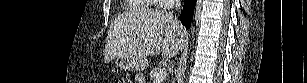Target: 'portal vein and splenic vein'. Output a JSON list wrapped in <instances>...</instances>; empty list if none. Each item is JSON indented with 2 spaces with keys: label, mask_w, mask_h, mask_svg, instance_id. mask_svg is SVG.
<instances>
[{
  "label": "portal vein and splenic vein",
  "mask_w": 307,
  "mask_h": 83,
  "mask_svg": "<svg viewBox=\"0 0 307 83\" xmlns=\"http://www.w3.org/2000/svg\"><path fill=\"white\" fill-rule=\"evenodd\" d=\"M167 75V72L165 70V68H162L158 71V73L156 74L155 78H154V83H160Z\"/></svg>",
  "instance_id": "18ae733b"
}]
</instances>
